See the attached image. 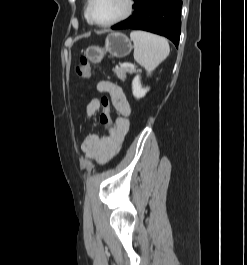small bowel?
<instances>
[{
    "label": "small bowel",
    "mask_w": 247,
    "mask_h": 265,
    "mask_svg": "<svg viewBox=\"0 0 247 265\" xmlns=\"http://www.w3.org/2000/svg\"><path fill=\"white\" fill-rule=\"evenodd\" d=\"M96 88L99 93H106L110 96L118 116L112 122L107 133L87 136L82 142L81 148L88 159L94 160L99 164H104L118 153L123 144L129 130L131 107L120 86L109 81H100ZM105 98H93L89 101L85 112L88 120L103 106Z\"/></svg>",
    "instance_id": "obj_1"
}]
</instances>
